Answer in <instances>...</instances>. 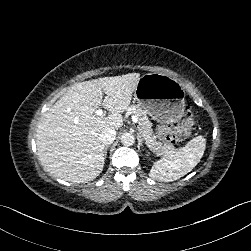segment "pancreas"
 Wrapping results in <instances>:
<instances>
[{
    "label": "pancreas",
    "mask_w": 251,
    "mask_h": 251,
    "mask_svg": "<svg viewBox=\"0 0 251 251\" xmlns=\"http://www.w3.org/2000/svg\"><path fill=\"white\" fill-rule=\"evenodd\" d=\"M125 111H129L131 114H134L138 118L139 122V132L142 135L144 141L154 150H158L159 154H164L163 151H168L167 146H163L160 142L157 141L156 135L153 133L152 130V123L149 120L147 112L142 109L138 104L131 103L127 106Z\"/></svg>",
    "instance_id": "1"
}]
</instances>
